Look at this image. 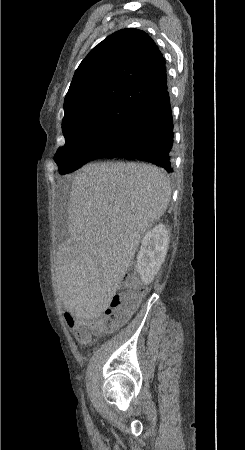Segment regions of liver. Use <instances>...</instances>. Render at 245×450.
Returning a JSON list of instances; mask_svg holds the SVG:
<instances>
[{
    "label": "liver",
    "mask_w": 245,
    "mask_h": 450,
    "mask_svg": "<svg viewBox=\"0 0 245 450\" xmlns=\"http://www.w3.org/2000/svg\"><path fill=\"white\" fill-rule=\"evenodd\" d=\"M170 199V182L156 166L99 162L80 169L69 198L70 239L56 255L57 287L68 311L93 318L110 306L143 235Z\"/></svg>",
    "instance_id": "6515ba94"
}]
</instances>
